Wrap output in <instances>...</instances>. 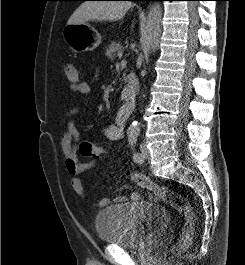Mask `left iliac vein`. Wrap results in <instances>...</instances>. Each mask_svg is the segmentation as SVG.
Wrapping results in <instances>:
<instances>
[{"label": "left iliac vein", "mask_w": 245, "mask_h": 265, "mask_svg": "<svg viewBox=\"0 0 245 265\" xmlns=\"http://www.w3.org/2000/svg\"><path fill=\"white\" fill-rule=\"evenodd\" d=\"M140 150H141V157H142V160H145L149 157V150L147 149V147L145 146L144 143H142L140 145Z\"/></svg>", "instance_id": "1"}]
</instances>
